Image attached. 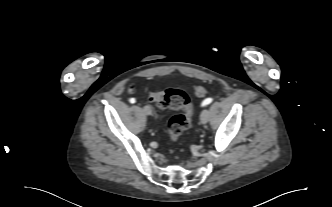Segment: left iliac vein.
<instances>
[{
	"label": "left iliac vein",
	"instance_id": "4c4485c4",
	"mask_svg": "<svg viewBox=\"0 0 332 207\" xmlns=\"http://www.w3.org/2000/svg\"><path fill=\"white\" fill-rule=\"evenodd\" d=\"M209 120V110L208 109H204L202 112H201V115H200V121L202 124H205L207 123Z\"/></svg>",
	"mask_w": 332,
	"mask_h": 207
}]
</instances>
